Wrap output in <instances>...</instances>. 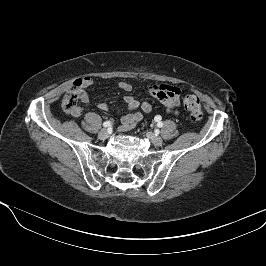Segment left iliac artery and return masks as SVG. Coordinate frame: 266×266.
<instances>
[{
  "label": "left iliac artery",
  "mask_w": 266,
  "mask_h": 266,
  "mask_svg": "<svg viewBox=\"0 0 266 266\" xmlns=\"http://www.w3.org/2000/svg\"><path fill=\"white\" fill-rule=\"evenodd\" d=\"M160 119H161L160 116H156V120H160ZM157 126H158L159 128L162 127V126H163V122L159 121L158 124H157Z\"/></svg>",
  "instance_id": "obj_1"
}]
</instances>
